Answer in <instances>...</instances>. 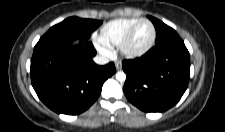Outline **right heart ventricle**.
<instances>
[{"label":"right heart ventricle","instance_id":"obj_1","mask_svg":"<svg viewBox=\"0 0 225 132\" xmlns=\"http://www.w3.org/2000/svg\"><path fill=\"white\" fill-rule=\"evenodd\" d=\"M137 20V18H119L109 21L99 31V42L105 47L119 46L127 30Z\"/></svg>","mask_w":225,"mask_h":132}]
</instances>
